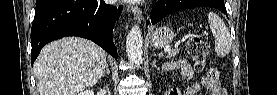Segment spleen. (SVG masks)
Returning a JSON list of instances; mask_svg holds the SVG:
<instances>
[{
	"label": "spleen",
	"mask_w": 277,
	"mask_h": 95,
	"mask_svg": "<svg viewBox=\"0 0 277 95\" xmlns=\"http://www.w3.org/2000/svg\"><path fill=\"white\" fill-rule=\"evenodd\" d=\"M208 23L215 39V52L219 57H224L231 50L232 41L227 26L215 13L208 14Z\"/></svg>",
	"instance_id": "3e777b00"
}]
</instances>
